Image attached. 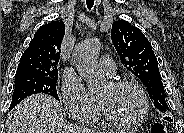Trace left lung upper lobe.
I'll return each instance as SVG.
<instances>
[{
  "label": "left lung upper lobe",
  "mask_w": 184,
  "mask_h": 133,
  "mask_svg": "<svg viewBox=\"0 0 184 133\" xmlns=\"http://www.w3.org/2000/svg\"><path fill=\"white\" fill-rule=\"evenodd\" d=\"M111 39L122 64L143 82L154 106L169 111L158 61L145 35L127 21L118 20L112 24Z\"/></svg>",
  "instance_id": "5c2ea615"
}]
</instances>
